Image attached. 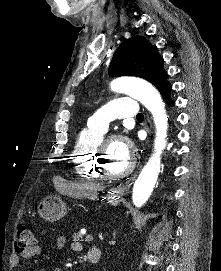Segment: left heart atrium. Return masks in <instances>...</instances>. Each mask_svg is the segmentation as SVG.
I'll list each match as a JSON object with an SVG mask.
<instances>
[{
  "mask_svg": "<svg viewBox=\"0 0 221 271\" xmlns=\"http://www.w3.org/2000/svg\"><path fill=\"white\" fill-rule=\"evenodd\" d=\"M109 157H128V148H113V152H109Z\"/></svg>",
  "mask_w": 221,
  "mask_h": 271,
  "instance_id": "obj_1",
  "label": "left heart atrium"
}]
</instances>
